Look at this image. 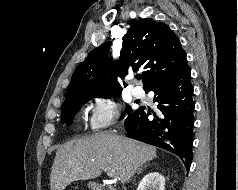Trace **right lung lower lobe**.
I'll use <instances>...</instances> for the list:
<instances>
[{
  "label": "right lung lower lobe",
  "instance_id": "obj_1",
  "mask_svg": "<svg viewBox=\"0 0 238 190\" xmlns=\"http://www.w3.org/2000/svg\"><path fill=\"white\" fill-rule=\"evenodd\" d=\"M155 93L160 113L149 119L150 112L139 107L125 120L128 137L151 144L178 155L189 171L192 162L194 127L193 86L187 60L180 68L148 87Z\"/></svg>",
  "mask_w": 238,
  "mask_h": 190
}]
</instances>
